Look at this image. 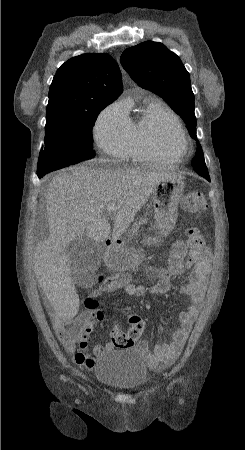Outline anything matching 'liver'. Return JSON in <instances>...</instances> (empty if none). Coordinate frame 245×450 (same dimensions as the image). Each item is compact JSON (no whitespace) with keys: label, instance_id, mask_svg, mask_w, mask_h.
<instances>
[{"label":"liver","instance_id":"liver-1","mask_svg":"<svg viewBox=\"0 0 245 450\" xmlns=\"http://www.w3.org/2000/svg\"><path fill=\"white\" fill-rule=\"evenodd\" d=\"M166 178L181 176L162 170L94 169L87 166L62 171L48 185L46 209L49 237L34 249L33 266L39 282L55 311L70 319L77 313L79 297L72 279V263L67 248L73 240L87 236L96 243L110 234L120 238L137 212ZM114 206L113 212L106 211Z\"/></svg>","mask_w":245,"mask_h":450}]
</instances>
